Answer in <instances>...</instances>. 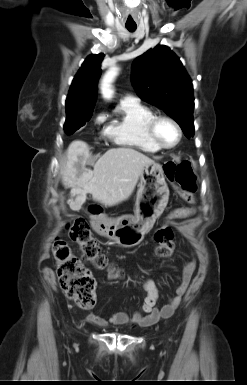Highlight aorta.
I'll list each match as a JSON object with an SVG mask.
<instances>
[{
	"mask_svg": "<svg viewBox=\"0 0 247 385\" xmlns=\"http://www.w3.org/2000/svg\"><path fill=\"white\" fill-rule=\"evenodd\" d=\"M118 74V68L116 66H112L109 68V70L106 72L102 84H101V90L103 97L106 99H110L113 96V90H112V82L114 81L115 77Z\"/></svg>",
	"mask_w": 247,
	"mask_h": 385,
	"instance_id": "762f6f07",
	"label": "aorta"
}]
</instances>
